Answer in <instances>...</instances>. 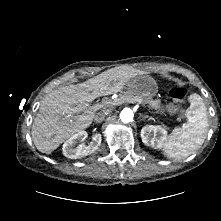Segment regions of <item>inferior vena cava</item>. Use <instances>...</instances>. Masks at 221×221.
Instances as JSON below:
<instances>
[{"mask_svg":"<svg viewBox=\"0 0 221 221\" xmlns=\"http://www.w3.org/2000/svg\"><path fill=\"white\" fill-rule=\"evenodd\" d=\"M109 112H110L109 110H102L96 113L94 118L95 122L101 123L105 119L106 115L109 114Z\"/></svg>","mask_w":221,"mask_h":221,"instance_id":"1","label":"inferior vena cava"}]
</instances>
